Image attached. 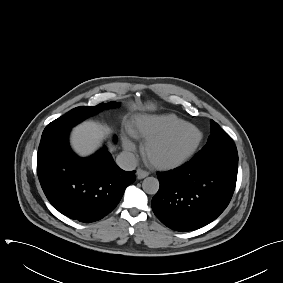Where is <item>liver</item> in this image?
Segmentation results:
<instances>
[{
  "label": "liver",
  "mask_w": 283,
  "mask_h": 283,
  "mask_svg": "<svg viewBox=\"0 0 283 283\" xmlns=\"http://www.w3.org/2000/svg\"><path fill=\"white\" fill-rule=\"evenodd\" d=\"M109 133V128L93 121H86L73 129L71 145L81 156L92 154Z\"/></svg>",
  "instance_id": "liver-1"
}]
</instances>
